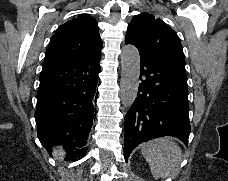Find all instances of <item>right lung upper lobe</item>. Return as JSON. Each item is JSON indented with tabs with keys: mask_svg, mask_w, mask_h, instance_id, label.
<instances>
[{
	"mask_svg": "<svg viewBox=\"0 0 228 181\" xmlns=\"http://www.w3.org/2000/svg\"><path fill=\"white\" fill-rule=\"evenodd\" d=\"M97 22L86 14L61 25L51 38L43 68L101 52Z\"/></svg>",
	"mask_w": 228,
	"mask_h": 181,
	"instance_id": "right-lung-upper-lobe-1",
	"label": "right lung upper lobe"
}]
</instances>
